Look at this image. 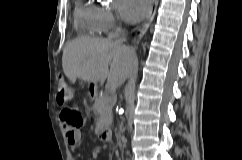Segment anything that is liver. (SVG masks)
I'll list each match as a JSON object with an SVG mask.
<instances>
[{
  "label": "liver",
  "mask_w": 242,
  "mask_h": 160,
  "mask_svg": "<svg viewBox=\"0 0 242 160\" xmlns=\"http://www.w3.org/2000/svg\"><path fill=\"white\" fill-rule=\"evenodd\" d=\"M129 48L110 39L78 37L63 49V71L72 83L77 78L92 83L107 79L108 88L114 92L131 74L119 66L123 50ZM135 64L136 60L131 63L132 69Z\"/></svg>",
  "instance_id": "1"
}]
</instances>
